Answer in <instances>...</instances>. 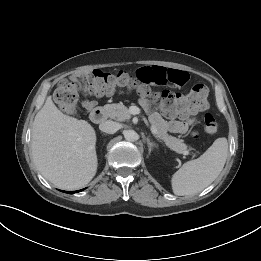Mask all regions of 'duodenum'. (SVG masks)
Returning a JSON list of instances; mask_svg holds the SVG:
<instances>
[{"label":"duodenum","instance_id":"410a0bca","mask_svg":"<svg viewBox=\"0 0 261 261\" xmlns=\"http://www.w3.org/2000/svg\"><path fill=\"white\" fill-rule=\"evenodd\" d=\"M92 122L99 124L105 120V111L102 107H95L90 112Z\"/></svg>","mask_w":261,"mask_h":261}]
</instances>
